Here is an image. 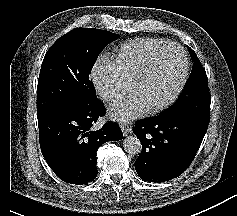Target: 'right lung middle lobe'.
I'll list each match as a JSON object with an SVG mask.
<instances>
[{"label": "right lung middle lobe", "instance_id": "dd1d6c3e", "mask_svg": "<svg viewBox=\"0 0 237 216\" xmlns=\"http://www.w3.org/2000/svg\"><path fill=\"white\" fill-rule=\"evenodd\" d=\"M117 38L118 34L94 28H75L60 37L42 62L37 114L96 99L89 74L100 52Z\"/></svg>", "mask_w": 237, "mask_h": 216}]
</instances>
